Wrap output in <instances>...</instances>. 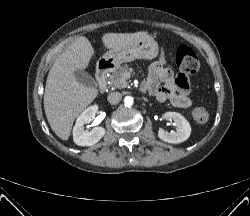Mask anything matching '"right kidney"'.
Wrapping results in <instances>:
<instances>
[{"instance_id": "1", "label": "right kidney", "mask_w": 250, "mask_h": 216, "mask_svg": "<svg viewBox=\"0 0 250 216\" xmlns=\"http://www.w3.org/2000/svg\"><path fill=\"white\" fill-rule=\"evenodd\" d=\"M98 110L97 105H92L85 109L78 116L73 127V141L79 146H92L96 144L105 135L106 130L103 127H95L91 131L85 130L84 124L92 121Z\"/></svg>"}]
</instances>
